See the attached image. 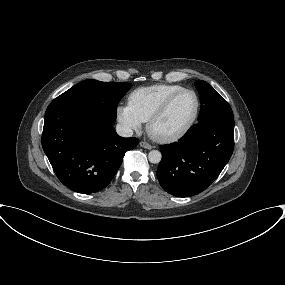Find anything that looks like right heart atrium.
<instances>
[{"label":"right heart atrium","mask_w":285,"mask_h":285,"mask_svg":"<svg viewBox=\"0 0 285 285\" xmlns=\"http://www.w3.org/2000/svg\"><path fill=\"white\" fill-rule=\"evenodd\" d=\"M116 115L119 123L126 131L140 130L142 121L129 104H120L116 109Z\"/></svg>","instance_id":"obj_1"}]
</instances>
